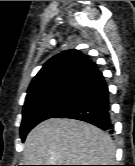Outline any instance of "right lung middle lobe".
Listing matches in <instances>:
<instances>
[{
	"label": "right lung middle lobe",
	"mask_w": 135,
	"mask_h": 166,
	"mask_svg": "<svg viewBox=\"0 0 135 166\" xmlns=\"http://www.w3.org/2000/svg\"><path fill=\"white\" fill-rule=\"evenodd\" d=\"M72 94L68 86H63L27 102L23 106L22 123L20 127L21 139L24 140L28 132L38 123L56 117L66 109Z\"/></svg>",
	"instance_id": "dd1d6c3e"
}]
</instances>
